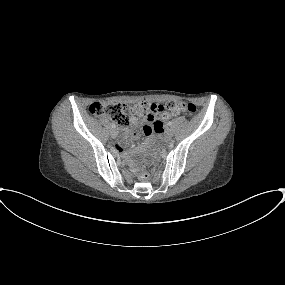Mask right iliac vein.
I'll use <instances>...</instances> for the list:
<instances>
[{"label": "right iliac vein", "instance_id": "63e3f726", "mask_svg": "<svg viewBox=\"0 0 285 285\" xmlns=\"http://www.w3.org/2000/svg\"><path fill=\"white\" fill-rule=\"evenodd\" d=\"M117 130L116 129H113L111 132H110V135L112 138H115L117 136Z\"/></svg>", "mask_w": 285, "mask_h": 285}]
</instances>
